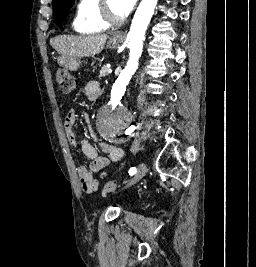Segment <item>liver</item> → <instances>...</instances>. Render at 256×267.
Segmentation results:
<instances>
[{
	"label": "liver",
	"mask_w": 256,
	"mask_h": 267,
	"mask_svg": "<svg viewBox=\"0 0 256 267\" xmlns=\"http://www.w3.org/2000/svg\"><path fill=\"white\" fill-rule=\"evenodd\" d=\"M120 32H115L114 36H117ZM107 34H93V36H57V38H51L50 44L63 56L67 58H89V56H96L102 52L106 40Z\"/></svg>",
	"instance_id": "liver-1"
}]
</instances>
